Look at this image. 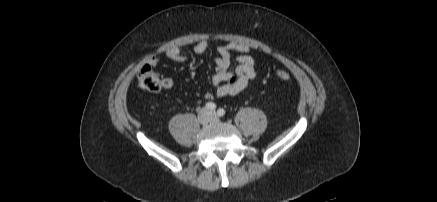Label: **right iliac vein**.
Listing matches in <instances>:
<instances>
[{
  "label": "right iliac vein",
  "instance_id": "right-iliac-vein-1",
  "mask_svg": "<svg viewBox=\"0 0 437 202\" xmlns=\"http://www.w3.org/2000/svg\"><path fill=\"white\" fill-rule=\"evenodd\" d=\"M198 120L201 124H207L210 121L209 112L206 109H202L198 114Z\"/></svg>",
  "mask_w": 437,
  "mask_h": 202
}]
</instances>
